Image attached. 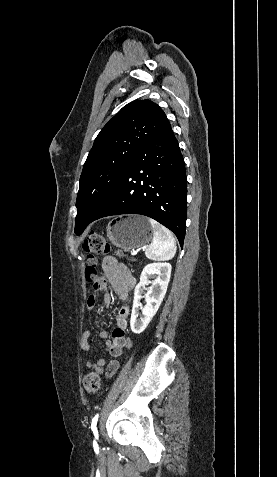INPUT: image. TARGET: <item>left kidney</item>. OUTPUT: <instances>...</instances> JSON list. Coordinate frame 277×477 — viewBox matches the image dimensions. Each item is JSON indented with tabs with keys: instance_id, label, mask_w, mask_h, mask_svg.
<instances>
[{
	"instance_id": "left-kidney-1",
	"label": "left kidney",
	"mask_w": 277,
	"mask_h": 477,
	"mask_svg": "<svg viewBox=\"0 0 277 477\" xmlns=\"http://www.w3.org/2000/svg\"><path fill=\"white\" fill-rule=\"evenodd\" d=\"M171 269V264L167 262L152 263L144 267L140 276V282L137 284L134 291L130 320V327L133 333H142L158 311L167 291ZM151 278L154 279L152 281V287L144 295L147 304L144 307H141L140 300L146 289L145 286L150 283ZM139 309L142 311L141 315L139 314ZM139 315L140 318L137 319Z\"/></svg>"
}]
</instances>
